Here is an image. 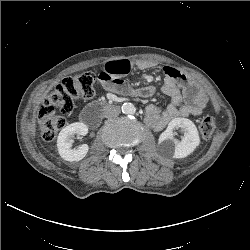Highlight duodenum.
<instances>
[{
	"label": "duodenum",
	"instance_id": "1",
	"mask_svg": "<svg viewBox=\"0 0 250 250\" xmlns=\"http://www.w3.org/2000/svg\"><path fill=\"white\" fill-rule=\"evenodd\" d=\"M115 104L107 103L105 101H98L85 108L81 113V121L89 126L95 127L98 125L103 113L115 109Z\"/></svg>",
	"mask_w": 250,
	"mask_h": 250
}]
</instances>
